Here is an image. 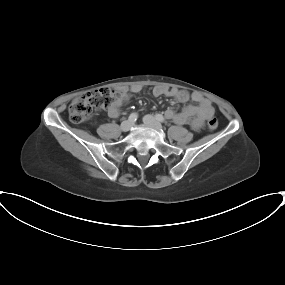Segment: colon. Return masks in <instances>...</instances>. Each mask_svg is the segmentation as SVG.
<instances>
[{"mask_svg":"<svg viewBox=\"0 0 285 285\" xmlns=\"http://www.w3.org/2000/svg\"><path fill=\"white\" fill-rule=\"evenodd\" d=\"M121 98V92L110 88H102L95 91L86 92L72 101L68 114L73 123L80 124L87 121L94 112L105 110L114 101ZM218 119L212 117L208 120V127L215 130L218 127Z\"/></svg>","mask_w":285,"mask_h":285,"instance_id":"obj_1","label":"colon"}]
</instances>
